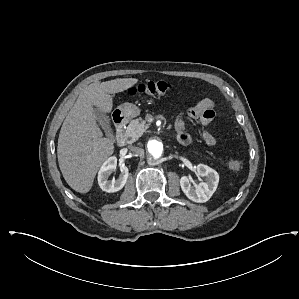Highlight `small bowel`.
<instances>
[{
	"mask_svg": "<svg viewBox=\"0 0 299 299\" xmlns=\"http://www.w3.org/2000/svg\"><path fill=\"white\" fill-rule=\"evenodd\" d=\"M215 103L210 98H204L200 100L196 105L188 108L187 115L194 120L199 121L202 125H208L215 117ZM176 137L179 143L187 145L190 143V135L185 130L184 121L179 118L175 123ZM205 143L208 146H215V137L207 130L202 134Z\"/></svg>",
	"mask_w": 299,
	"mask_h": 299,
	"instance_id": "c3829d8e",
	"label": "small bowel"
}]
</instances>
